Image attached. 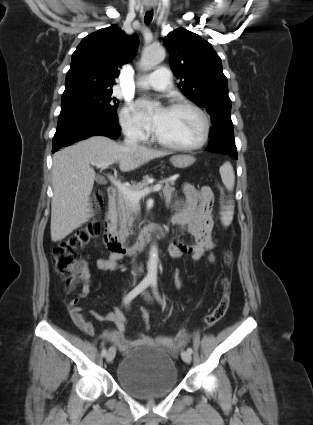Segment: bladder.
<instances>
[{
    "label": "bladder",
    "instance_id": "31cf9c89",
    "mask_svg": "<svg viewBox=\"0 0 313 425\" xmlns=\"http://www.w3.org/2000/svg\"><path fill=\"white\" fill-rule=\"evenodd\" d=\"M116 379L130 395L148 400L170 393L178 384V372L167 350L144 346L122 358Z\"/></svg>",
    "mask_w": 313,
    "mask_h": 425
}]
</instances>
